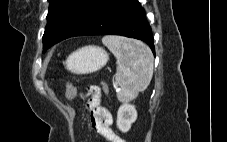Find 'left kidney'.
<instances>
[{"mask_svg":"<svg viewBox=\"0 0 227 142\" xmlns=\"http://www.w3.org/2000/svg\"><path fill=\"white\" fill-rule=\"evenodd\" d=\"M137 119V111L134 105L124 103L117 112V127L122 132H128L131 125Z\"/></svg>","mask_w":227,"mask_h":142,"instance_id":"1","label":"left kidney"}]
</instances>
